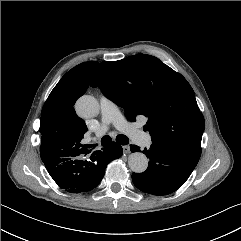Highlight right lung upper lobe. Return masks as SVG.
<instances>
[{
	"instance_id": "right-lung-upper-lobe-1",
	"label": "right lung upper lobe",
	"mask_w": 241,
	"mask_h": 241,
	"mask_svg": "<svg viewBox=\"0 0 241 241\" xmlns=\"http://www.w3.org/2000/svg\"><path fill=\"white\" fill-rule=\"evenodd\" d=\"M97 64L96 61L84 62L72 68L50 93L41 113L40 155L63 157L86 150L81 140L87 126L76 115L73 106L86 92Z\"/></svg>"
}]
</instances>
